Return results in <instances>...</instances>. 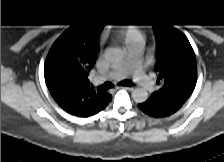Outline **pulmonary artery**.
Here are the masks:
<instances>
[{
  "label": "pulmonary artery",
  "instance_id": "e3ab8cb5",
  "mask_svg": "<svg viewBox=\"0 0 224 162\" xmlns=\"http://www.w3.org/2000/svg\"><path fill=\"white\" fill-rule=\"evenodd\" d=\"M126 77H130L135 83L147 90H152L155 87L154 81L145 73L143 68L141 42L134 43L125 63L119 68L110 70L103 77V80L119 81Z\"/></svg>",
  "mask_w": 224,
  "mask_h": 162
}]
</instances>
